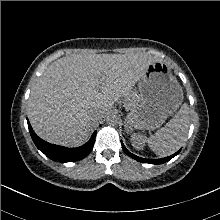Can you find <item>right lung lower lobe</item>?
<instances>
[{"mask_svg":"<svg viewBox=\"0 0 220 220\" xmlns=\"http://www.w3.org/2000/svg\"><path fill=\"white\" fill-rule=\"evenodd\" d=\"M28 128L30 135L37 146L48 158L57 162H74L86 157L92 150L95 142L96 131L92 134L90 140L78 148H65L58 145H53L40 139L33 131L28 119Z\"/></svg>","mask_w":220,"mask_h":220,"instance_id":"98d812e1","label":"right lung lower lobe"}]
</instances>
